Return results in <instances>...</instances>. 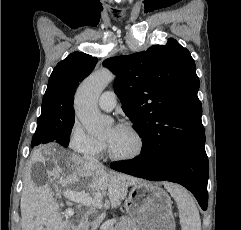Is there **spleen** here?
<instances>
[{"label":"spleen","instance_id":"3e777b00","mask_svg":"<svg viewBox=\"0 0 241 230\" xmlns=\"http://www.w3.org/2000/svg\"><path fill=\"white\" fill-rule=\"evenodd\" d=\"M165 187L174 198L179 211L182 230H201L199 211L192 195L184 188L166 183Z\"/></svg>","mask_w":241,"mask_h":230}]
</instances>
